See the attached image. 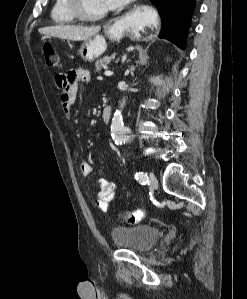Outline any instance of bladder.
Here are the masks:
<instances>
[{"instance_id": "1", "label": "bladder", "mask_w": 247, "mask_h": 299, "mask_svg": "<svg viewBox=\"0 0 247 299\" xmlns=\"http://www.w3.org/2000/svg\"><path fill=\"white\" fill-rule=\"evenodd\" d=\"M160 237L161 231L158 228L146 224L117 226L111 230V238L116 247L140 253L151 250Z\"/></svg>"}]
</instances>
